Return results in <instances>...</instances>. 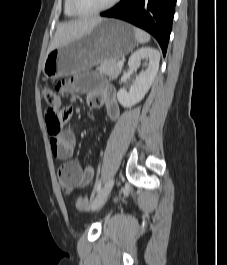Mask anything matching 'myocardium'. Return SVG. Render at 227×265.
<instances>
[{
  "instance_id": "f54148a6",
  "label": "myocardium",
  "mask_w": 227,
  "mask_h": 265,
  "mask_svg": "<svg viewBox=\"0 0 227 265\" xmlns=\"http://www.w3.org/2000/svg\"><path fill=\"white\" fill-rule=\"evenodd\" d=\"M120 0H110L107 4L94 10H83L78 6L77 0H70L71 9L79 16L96 15L114 7Z\"/></svg>"
}]
</instances>
